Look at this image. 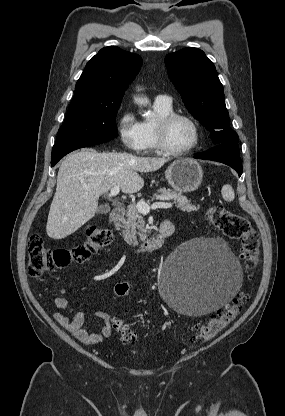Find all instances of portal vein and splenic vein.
I'll use <instances>...</instances> for the list:
<instances>
[{
    "instance_id": "obj_1",
    "label": "portal vein and splenic vein",
    "mask_w": 285,
    "mask_h": 416,
    "mask_svg": "<svg viewBox=\"0 0 285 416\" xmlns=\"http://www.w3.org/2000/svg\"><path fill=\"white\" fill-rule=\"evenodd\" d=\"M119 192V186H114V188H111L110 190V196H117ZM136 208L140 214H149L150 210H156V208H172V204H167V202H155L152 206H148L146 202H138Z\"/></svg>"
}]
</instances>
